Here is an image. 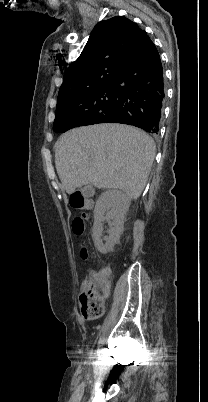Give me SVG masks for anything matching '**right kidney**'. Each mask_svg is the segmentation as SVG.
Here are the masks:
<instances>
[{
  "label": "right kidney",
  "instance_id": "ca27d5eb",
  "mask_svg": "<svg viewBox=\"0 0 208 402\" xmlns=\"http://www.w3.org/2000/svg\"><path fill=\"white\" fill-rule=\"evenodd\" d=\"M130 206V198L118 190H107L99 196L94 208L93 242L101 254H107L111 246L119 240L123 232L125 214ZM109 222L110 232L108 238H104L107 244H103L101 238L102 222Z\"/></svg>",
  "mask_w": 208,
  "mask_h": 402
}]
</instances>
